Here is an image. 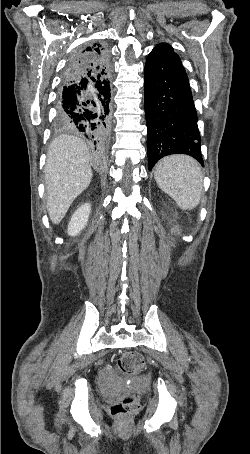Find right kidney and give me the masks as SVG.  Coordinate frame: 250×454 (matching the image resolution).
Segmentation results:
<instances>
[{"label":"right kidney","mask_w":250,"mask_h":454,"mask_svg":"<svg viewBox=\"0 0 250 454\" xmlns=\"http://www.w3.org/2000/svg\"><path fill=\"white\" fill-rule=\"evenodd\" d=\"M91 212V205L85 203L81 205L72 215L68 224V234L70 236L78 235L87 225L89 214Z\"/></svg>","instance_id":"ca27d5eb"}]
</instances>
